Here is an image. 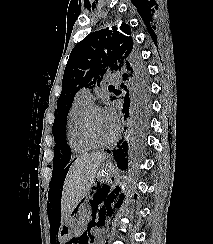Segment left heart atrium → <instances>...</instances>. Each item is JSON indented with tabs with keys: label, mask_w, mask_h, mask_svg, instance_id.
Segmentation results:
<instances>
[{
	"label": "left heart atrium",
	"mask_w": 213,
	"mask_h": 244,
	"mask_svg": "<svg viewBox=\"0 0 213 244\" xmlns=\"http://www.w3.org/2000/svg\"><path fill=\"white\" fill-rule=\"evenodd\" d=\"M103 112H104V116H105L106 120L108 121V123L115 127L116 115H115L114 110L111 107H107L106 109L103 110Z\"/></svg>",
	"instance_id": "1"
}]
</instances>
